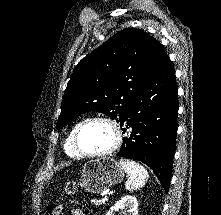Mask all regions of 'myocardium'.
Returning <instances> with one entry per match:
<instances>
[{
	"label": "myocardium",
	"mask_w": 221,
	"mask_h": 215,
	"mask_svg": "<svg viewBox=\"0 0 221 215\" xmlns=\"http://www.w3.org/2000/svg\"><path fill=\"white\" fill-rule=\"evenodd\" d=\"M92 122H103V123L107 124L110 127V129L112 130L113 142H112V145L105 151H102L99 153H87V152H84L79 146L80 132L82 131V129L86 125H88L89 123H92ZM121 142H122V132H121V129H120L118 123L110 117L101 116V115L89 117V118L83 120L78 125V127L76 128L74 135H73V144H74L75 150L77 151L79 156L86 157V158H100V157H105V156L111 155L119 148V146L121 145Z\"/></svg>",
	"instance_id": "myocardium-1"
}]
</instances>
